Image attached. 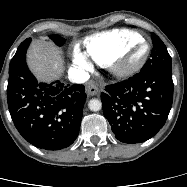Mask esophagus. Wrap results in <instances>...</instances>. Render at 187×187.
<instances>
[{
	"mask_svg": "<svg viewBox=\"0 0 187 187\" xmlns=\"http://www.w3.org/2000/svg\"><path fill=\"white\" fill-rule=\"evenodd\" d=\"M86 92L88 95L94 96L99 92V89L96 85H94L92 83H88L86 86Z\"/></svg>",
	"mask_w": 187,
	"mask_h": 187,
	"instance_id": "obj_1",
	"label": "esophagus"
}]
</instances>
